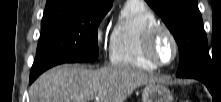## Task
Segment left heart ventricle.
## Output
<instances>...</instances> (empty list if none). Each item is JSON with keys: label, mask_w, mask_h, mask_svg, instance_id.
Returning a JSON list of instances; mask_svg holds the SVG:
<instances>
[{"label": "left heart ventricle", "mask_w": 221, "mask_h": 102, "mask_svg": "<svg viewBox=\"0 0 221 102\" xmlns=\"http://www.w3.org/2000/svg\"><path fill=\"white\" fill-rule=\"evenodd\" d=\"M154 51L160 61L168 62L171 60L174 49L173 44L167 35L161 34L158 37L155 43Z\"/></svg>", "instance_id": "obj_1"}]
</instances>
